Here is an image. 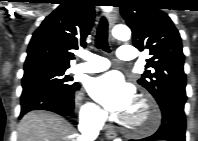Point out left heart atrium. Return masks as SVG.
<instances>
[{"label":"left heart atrium","mask_w":198,"mask_h":141,"mask_svg":"<svg viewBox=\"0 0 198 141\" xmlns=\"http://www.w3.org/2000/svg\"><path fill=\"white\" fill-rule=\"evenodd\" d=\"M88 92L112 112L127 113L134 107V90L118 72H109L92 79Z\"/></svg>","instance_id":"1"}]
</instances>
